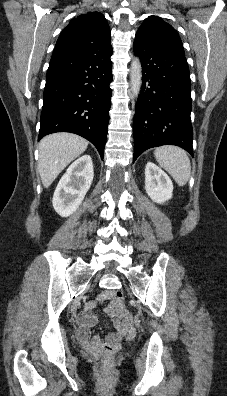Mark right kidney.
<instances>
[{
    "instance_id": "ca27d5eb",
    "label": "right kidney",
    "mask_w": 227,
    "mask_h": 396,
    "mask_svg": "<svg viewBox=\"0 0 227 396\" xmlns=\"http://www.w3.org/2000/svg\"><path fill=\"white\" fill-rule=\"evenodd\" d=\"M94 176L93 162L89 155L74 161L60 179L53 195V207L62 217L77 210L89 190Z\"/></svg>"
}]
</instances>
